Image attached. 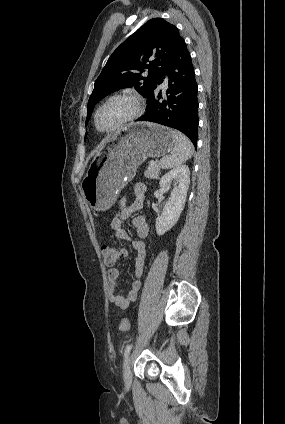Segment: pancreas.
I'll list each match as a JSON object with an SVG mask.
<instances>
[{
    "label": "pancreas",
    "mask_w": 285,
    "mask_h": 424,
    "mask_svg": "<svg viewBox=\"0 0 285 424\" xmlns=\"http://www.w3.org/2000/svg\"><path fill=\"white\" fill-rule=\"evenodd\" d=\"M160 174V166L158 162H155L153 165H149L144 175L150 179H157Z\"/></svg>",
    "instance_id": "1"
}]
</instances>
